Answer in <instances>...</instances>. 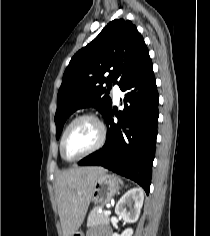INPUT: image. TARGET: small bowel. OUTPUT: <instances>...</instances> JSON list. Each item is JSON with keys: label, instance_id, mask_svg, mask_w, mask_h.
Instances as JSON below:
<instances>
[{"label": "small bowel", "instance_id": "1", "mask_svg": "<svg viewBox=\"0 0 210 236\" xmlns=\"http://www.w3.org/2000/svg\"><path fill=\"white\" fill-rule=\"evenodd\" d=\"M88 236H111L110 230H103L101 232H89Z\"/></svg>", "mask_w": 210, "mask_h": 236}]
</instances>
